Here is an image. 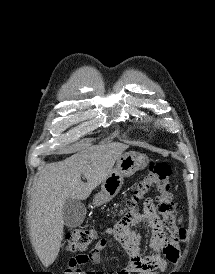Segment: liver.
Returning <instances> with one entry per match:
<instances>
[{
    "instance_id": "liver-1",
    "label": "liver",
    "mask_w": 215,
    "mask_h": 274,
    "mask_svg": "<svg viewBox=\"0 0 215 274\" xmlns=\"http://www.w3.org/2000/svg\"><path fill=\"white\" fill-rule=\"evenodd\" d=\"M127 148L120 143L82 148L42 170L33 186L29 224L33 246L45 267L55 261L60 250L66 199H87L110 176L115 162ZM81 175L86 183L81 181Z\"/></svg>"
}]
</instances>
